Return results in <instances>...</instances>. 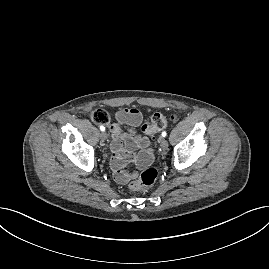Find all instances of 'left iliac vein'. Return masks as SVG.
I'll list each match as a JSON object with an SVG mask.
<instances>
[{"label": "left iliac vein", "mask_w": 269, "mask_h": 269, "mask_svg": "<svg viewBox=\"0 0 269 269\" xmlns=\"http://www.w3.org/2000/svg\"><path fill=\"white\" fill-rule=\"evenodd\" d=\"M159 143L162 150L165 151L168 149V141L165 138L161 137Z\"/></svg>", "instance_id": "4c4485c4"}]
</instances>
